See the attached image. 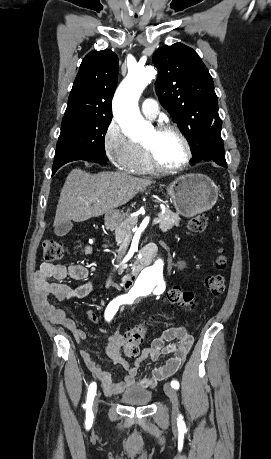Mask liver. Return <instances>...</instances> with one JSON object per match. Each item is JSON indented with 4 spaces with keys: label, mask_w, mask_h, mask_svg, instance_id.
I'll list each match as a JSON object with an SVG mask.
<instances>
[{
    "label": "liver",
    "mask_w": 271,
    "mask_h": 459,
    "mask_svg": "<svg viewBox=\"0 0 271 459\" xmlns=\"http://www.w3.org/2000/svg\"><path fill=\"white\" fill-rule=\"evenodd\" d=\"M151 184V180L134 178L125 172L87 174L82 170H72L61 190L54 226L70 220L85 222L89 218L114 212L115 208L127 204Z\"/></svg>",
    "instance_id": "liver-1"
}]
</instances>
